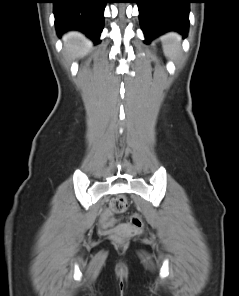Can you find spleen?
Wrapping results in <instances>:
<instances>
[{
  "instance_id": "1",
  "label": "spleen",
  "mask_w": 239,
  "mask_h": 296,
  "mask_svg": "<svg viewBox=\"0 0 239 296\" xmlns=\"http://www.w3.org/2000/svg\"><path fill=\"white\" fill-rule=\"evenodd\" d=\"M161 40L164 54L171 59L176 58L181 50L180 36L171 32L165 34Z\"/></svg>"
}]
</instances>
